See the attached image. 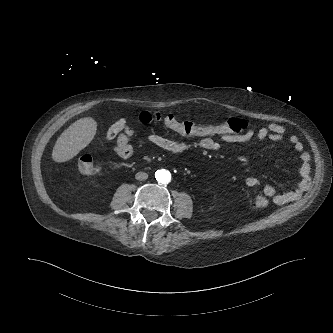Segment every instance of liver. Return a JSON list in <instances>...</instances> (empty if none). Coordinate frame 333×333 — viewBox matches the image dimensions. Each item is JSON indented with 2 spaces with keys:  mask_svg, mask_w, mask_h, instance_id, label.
<instances>
[{
  "mask_svg": "<svg viewBox=\"0 0 333 333\" xmlns=\"http://www.w3.org/2000/svg\"><path fill=\"white\" fill-rule=\"evenodd\" d=\"M96 132L97 122L92 117L77 120L58 137L52 150V159L61 163L74 158L91 143Z\"/></svg>",
  "mask_w": 333,
  "mask_h": 333,
  "instance_id": "6515ba94",
  "label": "liver"
}]
</instances>
